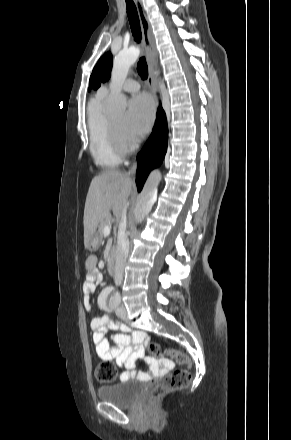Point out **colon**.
<instances>
[{
	"mask_svg": "<svg viewBox=\"0 0 291 440\" xmlns=\"http://www.w3.org/2000/svg\"><path fill=\"white\" fill-rule=\"evenodd\" d=\"M148 355L150 357L169 356L176 360L180 365L190 366L189 357L180 351L167 349L163 350L156 342L148 346ZM95 375L100 382H111L116 376V368L111 361L99 364L95 370ZM192 380L191 372L188 369H179L173 371L162 383L156 385L149 391V403L154 404L158 399L168 393L180 391L185 388Z\"/></svg>",
	"mask_w": 291,
	"mask_h": 440,
	"instance_id": "5ec220e1",
	"label": "colon"
}]
</instances>
